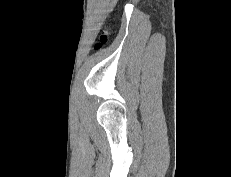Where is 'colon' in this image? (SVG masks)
Segmentation results:
<instances>
[{
  "label": "colon",
  "instance_id": "1",
  "mask_svg": "<svg viewBox=\"0 0 231 177\" xmlns=\"http://www.w3.org/2000/svg\"><path fill=\"white\" fill-rule=\"evenodd\" d=\"M100 40H101V43L107 42V40H108V33L106 31H104L102 33Z\"/></svg>",
  "mask_w": 231,
  "mask_h": 177
}]
</instances>
